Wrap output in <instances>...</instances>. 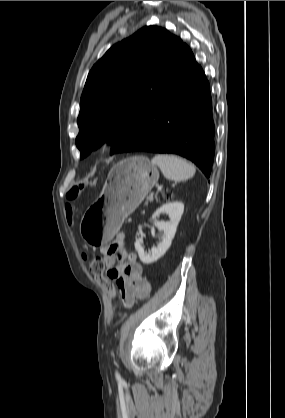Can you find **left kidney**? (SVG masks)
Returning <instances> with one entry per match:
<instances>
[{
	"instance_id": "1",
	"label": "left kidney",
	"mask_w": 285,
	"mask_h": 418,
	"mask_svg": "<svg viewBox=\"0 0 285 418\" xmlns=\"http://www.w3.org/2000/svg\"><path fill=\"white\" fill-rule=\"evenodd\" d=\"M184 211V204L182 202H169L159 207L152 215L154 225L163 231V239L156 247H152L151 251L146 252L140 241L135 242V249L138 252L140 260L144 264H150L162 257L171 246L172 240L175 236L178 223ZM162 213H168L170 220L167 222L157 221V218Z\"/></svg>"
}]
</instances>
